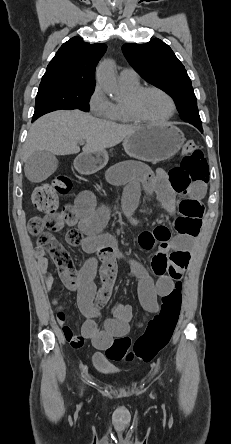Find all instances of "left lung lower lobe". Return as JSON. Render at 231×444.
<instances>
[{
    "label": "left lung lower lobe",
    "instance_id": "0a47b994",
    "mask_svg": "<svg viewBox=\"0 0 231 444\" xmlns=\"http://www.w3.org/2000/svg\"><path fill=\"white\" fill-rule=\"evenodd\" d=\"M201 132H203V129H202V127H200V126H196Z\"/></svg>",
    "mask_w": 231,
    "mask_h": 444
}]
</instances>
